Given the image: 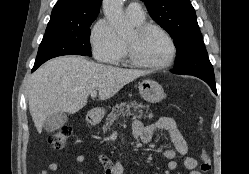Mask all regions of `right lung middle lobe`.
<instances>
[{"label": "right lung middle lobe", "mask_w": 249, "mask_h": 174, "mask_svg": "<svg viewBox=\"0 0 249 174\" xmlns=\"http://www.w3.org/2000/svg\"><path fill=\"white\" fill-rule=\"evenodd\" d=\"M92 21L81 25L45 31L35 64L62 55L91 56L90 29Z\"/></svg>", "instance_id": "obj_1"}]
</instances>
